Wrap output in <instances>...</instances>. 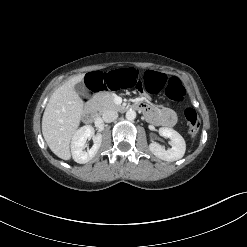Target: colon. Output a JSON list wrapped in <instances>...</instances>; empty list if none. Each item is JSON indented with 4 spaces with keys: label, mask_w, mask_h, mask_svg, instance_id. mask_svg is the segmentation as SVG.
Masks as SVG:
<instances>
[{
    "label": "colon",
    "mask_w": 247,
    "mask_h": 247,
    "mask_svg": "<svg viewBox=\"0 0 247 247\" xmlns=\"http://www.w3.org/2000/svg\"><path fill=\"white\" fill-rule=\"evenodd\" d=\"M85 88L93 94L104 91L108 94L136 91L140 94H155L164 90L166 97L174 102L181 101L185 89L181 81L172 77L167 79L161 73L145 72L139 67L121 66L108 70H94L84 80ZM185 120L191 135L195 136L200 127V118L193 108L184 111Z\"/></svg>",
    "instance_id": "5ec220e1"
}]
</instances>
